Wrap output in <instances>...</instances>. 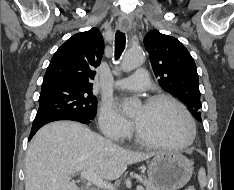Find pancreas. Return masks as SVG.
<instances>
[{"mask_svg":"<svg viewBox=\"0 0 234 190\" xmlns=\"http://www.w3.org/2000/svg\"><path fill=\"white\" fill-rule=\"evenodd\" d=\"M138 180L140 183H142L146 190H160L158 187H156L154 184H152L149 180H147L145 177L138 176Z\"/></svg>","mask_w":234,"mask_h":190,"instance_id":"obj_1","label":"pancreas"}]
</instances>
